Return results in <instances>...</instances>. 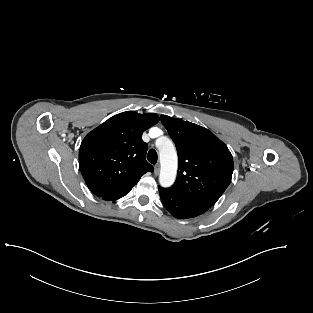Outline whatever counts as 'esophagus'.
I'll use <instances>...</instances> for the list:
<instances>
[{
    "label": "esophagus",
    "instance_id": "1",
    "mask_svg": "<svg viewBox=\"0 0 313 313\" xmlns=\"http://www.w3.org/2000/svg\"><path fill=\"white\" fill-rule=\"evenodd\" d=\"M154 171H155V175L159 174V172H160V165L159 164L155 165Z\"/></svg>",
    "mask_w": 313,
    "mask_h": 313
}]
</instances>
